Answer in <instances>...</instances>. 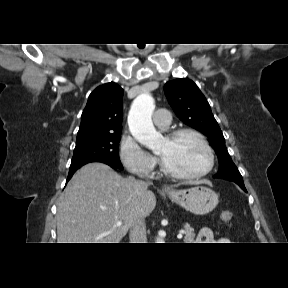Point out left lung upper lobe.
Here are the masks:
<instances>
[{
	"label": "left lung upper lobe",
	"mask_w": 288,
	"mask_h": 288,
	"mask_svg": "<svg viewBox=\"0 0 288 288\" xmlns=\"http://www.w3.org/2000/svg\"><path fill=\"white\" fill-rule=\"evenodd\" d=\"M164 91L179 119L209 138L219 160V171L214 177L233 181L238 185L244 184L227 151L224 136L210 105L197 85L190 79L178 78L167 82Z\"/></svg>",
	"instance_id": "1"
}]
</instances>
